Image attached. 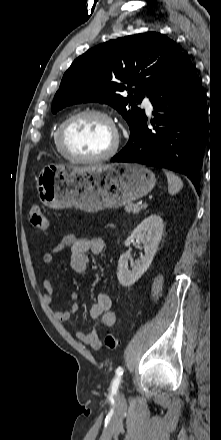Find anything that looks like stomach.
<instances>
[{"instance_id":"obj_1","label":"stomach","mask_w":221,"mask_h":440,"mask_svg":"<svg viewBox=\"0 0 221 440\" xmlns=\"http://www.w3.org/2000/svg\"><path fill=\"white\" fill-rule=\"evenodd\" d=\"M40 201L53 209L76 207L86 212L121 207L148 194L155 175L129 163L86 166L48 165L37 178Z\"/></svg>"}]
</instances>
